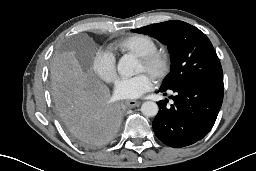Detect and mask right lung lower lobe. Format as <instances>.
<instances>
[{
	"mask_svg": "<svg viewBox=\"0 0 256 171\" xmlns=\"http://www.w3.org/2000/svg\"><path fill=\"white\" fill-rule=\"evenodd\" d=\"M55 106L67 131L84 147L104 146L119 131V107L110 101V91L101 83H94L60 99Z\"/></svg>",
	"mask_w": 256,
	"mask_h": 171,
	"instance_id": "1",
	"label": "right lung lower lobe"
}]
</instances>
